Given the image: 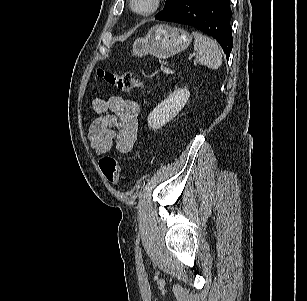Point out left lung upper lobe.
<instances>
[{
	"label": "left lung upper lobe",
	"instance_id": "1",
	"mask_svg": "<svg viewBox=\"0 0 307 301\" xmlns=\"http://www.w3.org/2000/svg\"><path fill=\"white\" fill-rule=\"evenodd\" d=\"M180 0H166L164 9L156 16V19H159L163 15L170 12Z\"/></svg>",
	"mask_w": 307,
	"mask_h": 301
}]
</instances>
